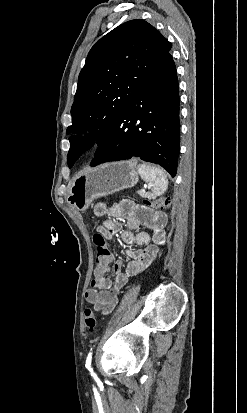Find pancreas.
Returning <instances> with one entry per match:
<instances>
[{"instance_id": "cf45deb5", "label": "pancreas", "mask_w": 247, "mask_h": 413, "mask_svg": "<svg viewBox=\"0 0 247 413\" xmlns=\"http://www.w3.org/2000/svg\"><path fill=\"white\" fill-rule=\"evenodd\" d=\"M138 194H140V196H144V198H155L153 192H138Z\"/></svg>"}]
</instances>
